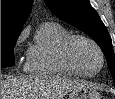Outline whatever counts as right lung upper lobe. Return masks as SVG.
Returning a JSON list of instances; mask_svg holds the SVG:
<instances>
[{
	"label": "right lung upper lobe",
	"instance_id": "cb5924a9",
	"mask_svg": "<svg viewBox=\"0 0 115 99\" xmlns=\"http://www.w3.org/2000/svg\"><path fill=\"white\" fill-rule=\"evenodd\" d=\"M33 0H1V34H20Z\"/></svg>",
	"mask_w": 115,
	"mask_h": 99
}]
</instances>
